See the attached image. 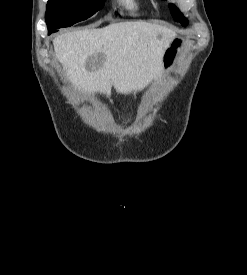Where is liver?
I'll return each instance as SVG.
<instances>
[{
    "instance_id": "liver-1",
    "label": "liver",
    "mask_w": 247,
    "mask_h": 275,
    "mask_svg": "<svg viewBox=\"0 0 247 275\" xmlns=\"http://www.w3.org/2000/svg\"><path fill=\"white\" fill-rule=\"evenodd\" d=\"M175 33L144 21L61 34L53 40L67 78L88 93L130 94L143 90L163 72L162 58Z\"/></svg>"
}]
</instances>
